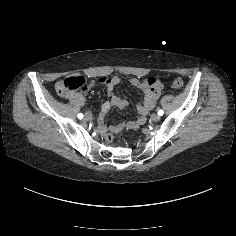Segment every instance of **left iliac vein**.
<instances>
[{
    "mask_svg": "<svg viewBox=\"0 0 236 236\" xmlns=\"http://www.w3.org/2000/svg\"><path fill=\"white\" fill-rule=\"evenodd\" d=\"M150 120H151L152 122H157V121L160 120V116H159L158 114L154 113V114H152V115L150 116Z\"/></svg>",
    "mask_w": 236,
    "mask_h": 236,
    "instance_id": "left-iliac-vein-1",
    "label": "left iliac vein"
}]
</instances>
